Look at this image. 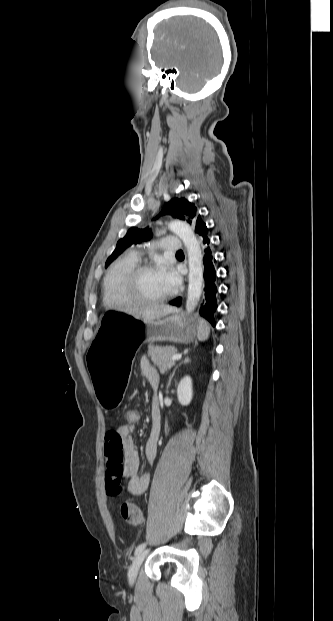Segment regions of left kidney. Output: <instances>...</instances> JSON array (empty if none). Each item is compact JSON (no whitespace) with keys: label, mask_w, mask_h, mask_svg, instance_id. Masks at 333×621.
Masks as SVG:
<instances>
[{"label":"left kidney","mask_w":333,"mask_h":621,"mask_svg":"<svg viewBox=\"0 0 333 621\" xmlns=\"http://www.w3.org/2000/svg\"><path fill=\"white\" fill-rule=\"evenodd\" d=\"M177 396H178V401L181 405H189L191 400H192V396H193V389H192V379L189 376L184 377L177 388Z\"/></svg>","instance_id":"5707ae66"}]
</instances>
